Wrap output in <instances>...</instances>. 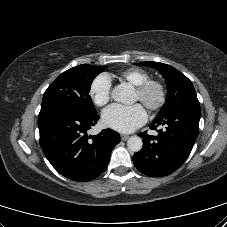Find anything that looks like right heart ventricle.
I'll use <instances>...</instances> for the list:
<instances>
[{
  "label": "right heart ventricle",
  "mask_w": 227,
  "mask_h": 227,
  "mask_svg": "<svg viewBox=\"0 0 227 227\" xmlns=\"http://www.w3.org/2000/svg\"><path fill=\"white\" fill-rule=\"evenodd\" d=\"M118 78L136 87L148 80L150 76L142 69L129 68L120 72Z\"/></svg>",
  "instance_id": "e07e8e85"
}]
</instances>
